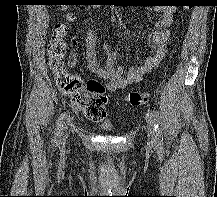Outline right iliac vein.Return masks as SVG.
Wrapping results in <instances>:
<instances>
[{"label":"right iliac vein","instance_id":"1","mask_svg":"<svg viewBox=\"0 0 217 197\" xmlns=\"http://www.w3.org/2000/svg\"><path fill=\"white\" fill-rule=\"evenodd\" d=\"M67 139V132L63 134L62 142H65Z\"/></svg>","mask_w":217,"mask_h":197}]
</instances>
